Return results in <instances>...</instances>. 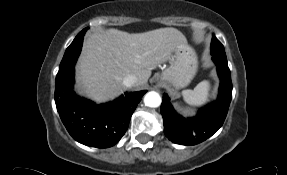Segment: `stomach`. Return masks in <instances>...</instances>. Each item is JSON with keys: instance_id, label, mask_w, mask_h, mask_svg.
I'll use <instances>...</instances> for the list:
<instances>
[{"instance_id": "0dacf381", "label": "stomach", "mask_w": 287, "mask_h": 175, "mask_svg": "<svg viewBox=\"0 0 287 175\" xmlns=\"http://www.w3.org/2000/svg\"><path fill=\"white\" fill-rule=\"evenodd\" d=\"M197 69L196 52L187 42L180 43L171 56L170 66L159 76V81L174 90L184 88L194 78Z\"/></svg>"}]
</instances>
